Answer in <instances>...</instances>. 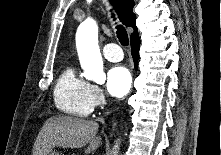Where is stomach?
Masks as SVG:
<instances>
[{
    "instance_id": "stomach-1",
    "label": "stomach",
    "mask_w": 221,
    "mask_h": 155,
    "mask_svg": "<svg viewBox=\"0 0 221 155\" xmlns=\"http://www.w3.org/2000/svg\"><path fill=\"white\" fill-rule=\"evenodd\" d=\"M47 155H62L59 152L55 151V150H51Z\"/></svg>"
}]
</instances>
